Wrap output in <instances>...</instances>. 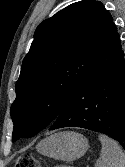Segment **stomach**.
Returning <instances> with one entry per match:
<instances>
[{"label":"stomach","instance_id":"1","mask_svg":"<svg viewBox=\"0 0 125 167\" xmlns=\"http://www.w3.org/2000/svg\"><path fill=\"white\" fill-rule=\"evenodd\" d=\"M37 151L56 160L73 161L82 157L89 148L88 140L71 131L55 133L37 145Z\"/></svg>","mask_w":125,"mask_h":167}]
</instances>
